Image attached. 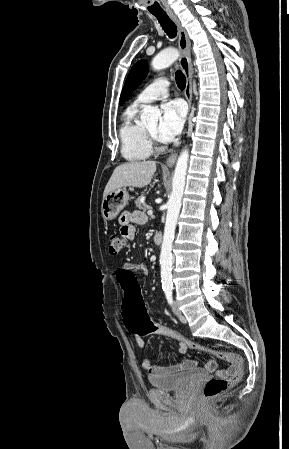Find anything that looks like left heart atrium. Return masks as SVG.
I'll list each match as a JSON object with an SVG mask.
<instances>
[{
    "instance_id": "39dd6f15",
    "label": "left heart atrium",
    "mask_w": 289,
    "mask_h": 449,
    "mask_svg": "<svg viewBox=\"0 0 289 449\" xmlns=\"http://www.w3.org/2000/svg\"><path fill=\"white\" fill-rule=\"evenodd\" d=\"M162 116L158 125V138L164 143L175 140L184 124L185 109L179 101L165 102L161 106Z\"/></svg>"
}]
</instances>
